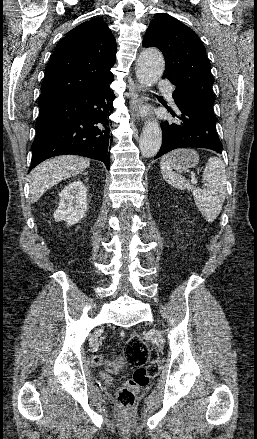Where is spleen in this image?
Listing matches in <instances>:
<instances>
[{"mask_svg":"<svg viewBox=\"0 0 257 439\" xmlns=\"http://www.w3.org/2000/svg\"><path fill=\"white\" fill-rule=\"evenodd\" d=\"M171 153L162 157L160 169L163 178L171 186L180 190H190L195 204L207 222H213L220 214L226 196L225 165L218 157H210L206 163L202 182L206 189L192 186L184 177L172 171L170 166Z\"/></svg>","mask_w":257,"mask_h":439,"instance_id":"spleen-1","label":"spleen"}]
</instances>
